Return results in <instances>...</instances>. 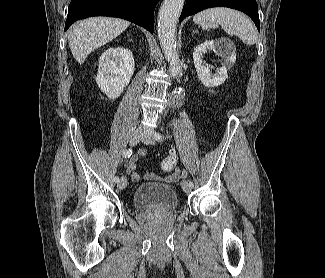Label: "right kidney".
I'll return each instance as SVG.
<instances>
[{"label":"right kidney","mask_w":325,"mask_h":278,"mask_svg":"<svg viewBox=\"0 0 325 278\" xmlns=\"http://www.w3.org/2000/svg\"><path fill=\"white\" fill-rule=\"evenodd\" d=\"M134 69L131 50L123 46L111 47L100 56L96 83L103 93L115 99L128 86Z\"/></svg>","instance_id":"obj_1"}]
</instances>
